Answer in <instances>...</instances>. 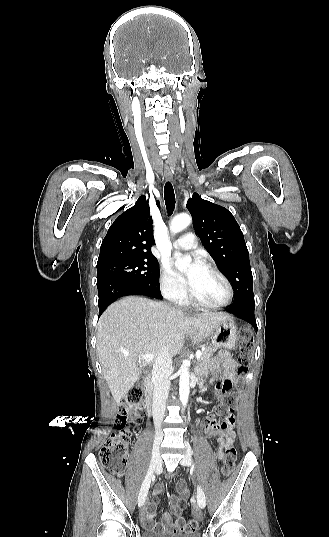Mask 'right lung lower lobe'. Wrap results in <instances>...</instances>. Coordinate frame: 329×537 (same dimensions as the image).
Instances as JSON below:
<instances>
[{"instance_id": "98d812e1", "label": "right lung lower lobe", "mask_w": 329, "mask_h": 537, "mask_svg": "<svg viewBox=\"0 0 329 537\" xmlns=\"http://www.w3.org/2000/svg\"><path fill=\"white\" fill-rule=\"evenodd\" d=\"M99 317L105 308L116 299L127 295H145L162 299L160 288L118 278L105 277L97 280Z\"/></svg>"}]
</instances>
